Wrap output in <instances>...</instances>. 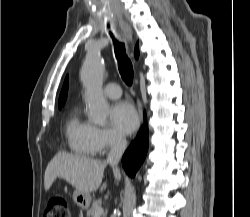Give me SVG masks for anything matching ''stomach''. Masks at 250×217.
Here are the masks:
<instances>
[{
  "label": "stomach",
  "instance_id": "stomach-1",
  "mask_svg": "<svg viewBox=\"0 0 250 217\" xmlns=\"http://www.w3.org/2000/svg\"><path fill=\"white\" fill-rule=\"evenodd\" d=\"M73 200L78 207L83 210H86L90 206L92 197L90 192H79L76 190L73 194Z\"/></svg>",
  "mask_w": 250,
  "mask_h": 217
}]
</instances>
